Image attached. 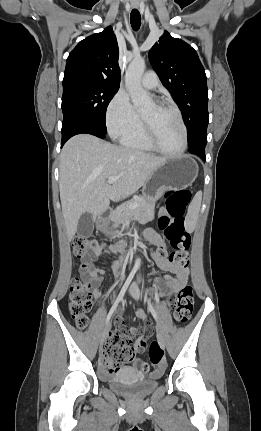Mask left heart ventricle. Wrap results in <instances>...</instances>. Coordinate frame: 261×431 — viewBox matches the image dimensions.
Here are the masks:
<instances>
[{
    "mask_svg": "<svg viewBox=\"0 0 261 431\" xmlns=\"http://www.w3.org/2000/svg\"><path fill=\"white\" fill-rule=\"evenodd\" d=\"M141 115L151 124L159 145L176 152L182 145V129L176 114L170 109L158 108L151 102L141 111Z\"/></svg>",
    "mask_w": 261,
    "mask_h": 431,
    "instance_id": "obj_1",
    "label": "left heart ventricle"
}]
</instances>
